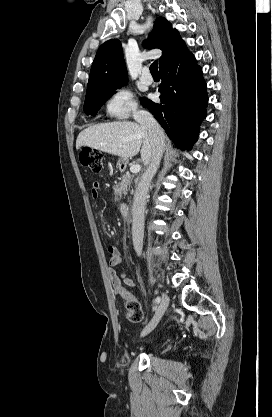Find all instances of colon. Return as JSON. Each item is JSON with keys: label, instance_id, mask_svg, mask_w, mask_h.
Here are the masks:
<instances>
[{"label": "colon", "instance_id": "colon-1", "mask_svg": "<svg viewBox=\"0 0 272 417\" xmlns=\"http://www.w3.org/2000/svg\"><path fill=\"white\" fill-rule=\"evenodd\" d=\"M83 166L93 172H100L103 168L102 154L90 147H84L79 154ZM119 295L125 299L126 317L132 323H139L143 319V312L138 300L123 286L118 288Z\"/></svg>", "mask_w": 272, "mask_h": 417}]
</instances>
